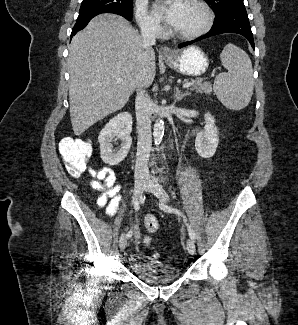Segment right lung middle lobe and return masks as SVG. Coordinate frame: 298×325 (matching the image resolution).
<instances>
[{
    "mask_svg": "<svg viewBox=\"0 0 298 325\" xmlns=\"http://www.w3.org/2000/svg\"><path fill=\"white\" fill-rule=\"evenodd\" d=\"M133 0H83L78 18L90 17L102 12H114L132 17Z\"/></svg>",
    "mask_w": 298,
    "mask_h": 325,
    "instance_id": "1",
    "label": "right lung middle lobe"
}]
</instances>
